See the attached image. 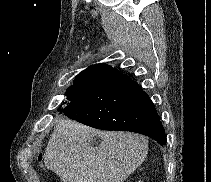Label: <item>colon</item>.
Here are the masks:
<instances>
[{"label": "colon", "mask_w": 211, "mask_h": 182, "mask_svg": "<svg viewBox=\"0 0 211 182\" xmlns=\"http://www.w3.org/2000/svg\"><path fill=\"white\" fill-rule=\"evenodd\" d=\"M42 154L41 153H39L38 155H37V159L40 161V162H42Z\"/></svg>", "instance_id": "5ec220e1"}]
</instances>
